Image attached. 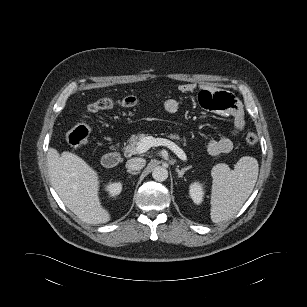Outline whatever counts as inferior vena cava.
<instances>
[{
  "instance_id": "inferior-vena-cava-1",
  "label": "inferior vena cava",
  "mask_w": 307,
  "mask_h": 307,
  "mask_svg": "<svg viewBox=\"0 0 307 307\" xmlns=\"http://www.w3.org/2000/svg\"><path fill=\"white\" fill-rule=\"evenodd\" d=\"M146 165V160L143 158H131L126 162L128 170H141Z\"/></svg>"
}]
</instances>
